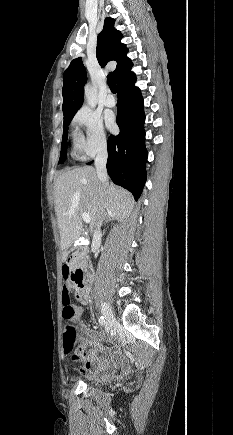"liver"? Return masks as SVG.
Instances as JSON below:
<instances>
[{
  "mask_svg": "<svg viewBox=\"0 0 233 435\" xmlns=\"http://www.w3.org/2000/svg\"><path fill=\"white\" fill-rule=\"evenodd\" d=\"M100 184L96 170L91 166L68 170L57 178L55 212L63 252L80 237L84 212L90 215L92 228L98 225L101 216L122 221L131 215L132 195L108 182L104 183L107 189L103 191Z\"/></svg>",
  "mask_w": 233,
  "mask_h": 435,
  "instance_id": "liver-1",
  "label": "liver"
}]
</instances>
